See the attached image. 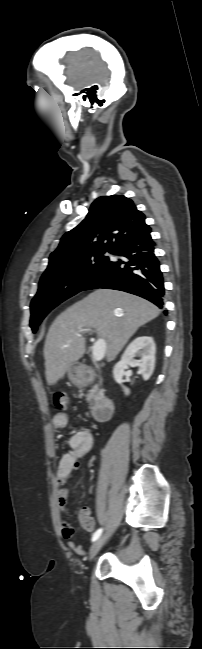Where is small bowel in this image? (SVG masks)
<instances>
[{"label":"small bowel","instance_id":"c3829d8e","mask_svg":"<svg viewBox=\"0 0 202 649\" xmlns=\"http://www.w3.org/2000/svg\"><path fill=\"white\" fill-rule=\"evenodd\" d=\"M52 424L56 429L66 428L69 424V416L64 412L57 413L52 420ZM93 436L88 430H80L74 433L68 440V450L60 459L57 470V483L60 487L57 499L60 511L68 516L70 508L68 505V489L63 486L74 476L78 471L80 461L86 457L92 450ZM79 521L84 530L89 533L94 532L95 521L92 517V512L89 507H83L79 512ZM61 534L68 540V546L74 550L78 555L85 556L86 550L81 545H77L73 540L75 531L73 526L67 521L61 522Z\"/></svg>","mask_w":202,"mask_h":649}]
</instances>
